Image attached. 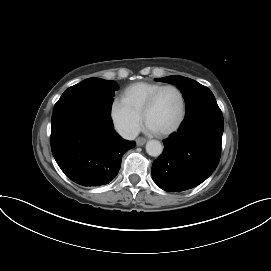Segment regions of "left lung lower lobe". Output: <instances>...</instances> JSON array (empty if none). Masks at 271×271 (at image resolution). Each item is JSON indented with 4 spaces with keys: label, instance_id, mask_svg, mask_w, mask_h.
<instances>
[{
    "label": "left lung lower lobe",
    "instance_id": "0a47b994",
    "mask_svg": "<svg viewBox=\"0 0 271 271\" xmlns=\"http://www.w3.org/2000/svg\"><path fill=\"white\" fill-rule=\"evenodd\" d=\"M223 129L218 106L186 116L178 132L163 141L164 151L153 162L156 184L165 191L180 192L206 180L219 163Z\"/></svg>",
    "mask_w": 271,
    "mask_h": 271
}]
</instances>
